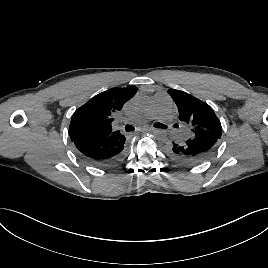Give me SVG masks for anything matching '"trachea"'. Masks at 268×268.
I'll return each instance as SVG.
<instances>
[{
    "label": "trachea",
    "instance_id": "1",
    "mask_svg": "<svg viewBox=\"0 0 268 268\" xmlns=\"http://www.w3.org/2000/svg\"><path fill=\"white\" fill-rule=\"evenodd\" d=\"M154 127H159V128H167L166 125L164 124H161V123H155L154 124ZM125 130L128 132V131H133L134 130V127L132 125H126L125 126Z\"/></svg>",
    "mask_w": 268,
    "mask_h": 268
}]
</instances>
